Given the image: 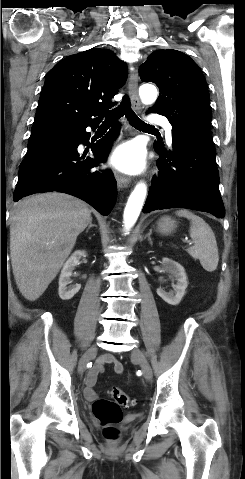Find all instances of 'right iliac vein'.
<instances>
[{
  "instance_id": "1",
  "label": "right iliac vein",
  "mask_w": 245,
  "mask_h": 479,
  "mask_svg": "<svg viewBox=\"0 0 245 479\" xmlns=\"http://www.w3.org/2000/svg\"><path fill=\"white\" fill-rule=\"evenodd\" d=\"M97 353V346H92L81 358L78 366V372L79 374H83L87 363L95 356Z\"/></svg>"
}]
</instances>
